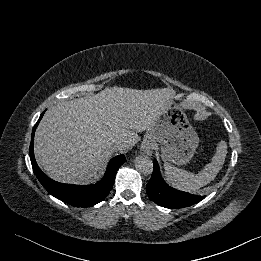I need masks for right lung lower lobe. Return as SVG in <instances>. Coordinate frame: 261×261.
<instances>
[{"label":"right lung lower lobe","instance_id":"right-lung-lower-lobe-1","mask_svg":"<svg viewBox=\"0 0 261 261\" xmlns=\"http://www.w3.org/2000/svg\"><path fill=\"white\" fill-rule=\"evenodd\" d=\"M44 112L41 114L39 120L37 121V123L33 128L31 143L29 148V155H30L33 171L36 177L43 185V187L48 191V193L58 198L59 200L69 203L73 206L90 207L101 202L109 194L113 186L115 174L118 168L123 163L126 162L124 155L116 156L110 160L103 179L96 184L80 186V185H72V184H63L50 179L38 167L33 152V140H34L35 129L38 123L40 122Z\"/></svg>","mask_w":261,"mask_h":261}]
</instances>
